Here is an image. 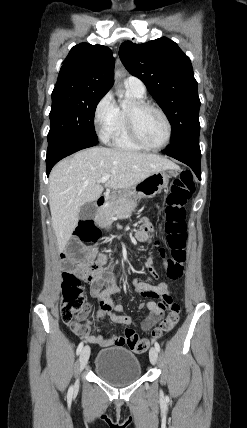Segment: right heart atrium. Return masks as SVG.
Here are the masks:
<instances>
[{
	"mask_svg": "<svg viewBox=\"0 0 247 428\" xmlns=\"http://www.w3.org/2000/svg\"><path fill=\"white\" fill-rule=\"evenodd\" d=\"M94 125L103 141L111 139L117 121V106L111 93L105 94L94 109Z\"/></svg>",
	"mask_w": 247,
	"mask_h": 428,
	"instance_id": "right-heart-atrium-1",
	"label": "right heart atrium"
}]
</instances>
